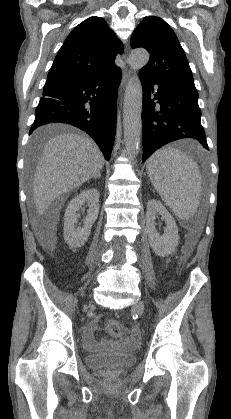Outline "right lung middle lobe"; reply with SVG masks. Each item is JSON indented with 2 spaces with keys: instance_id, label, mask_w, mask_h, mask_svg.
<instances>
[{
  "instance_id": "dd1d6c3e",
  "label": "right lung middle lobe",
  "mask_w": 231,
  "mask_h": 419,
  "mask_svg": "<svg viewBox=\"0 0 231 419\" xmlns=\"http://www.w3.org/2000/svg\"><path fill=\"white\" fill-rule=\"evenodd\" d=\"M41 142V141H40ZM40 142H38L37 140H35L34 142H33V146L34 147H38L39 145H40Z\"/></svg>"
}]
</instances>
